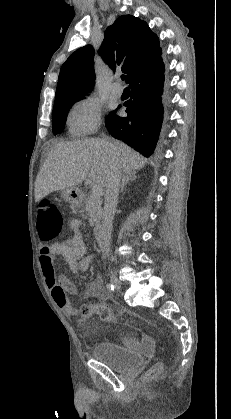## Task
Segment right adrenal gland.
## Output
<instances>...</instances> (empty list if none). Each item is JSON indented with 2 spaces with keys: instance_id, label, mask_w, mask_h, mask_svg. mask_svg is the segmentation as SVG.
<instances>
[{
  "instance_id": "obj_1",
  "label": "right adrenal gland",
  "mask_w": 231,
  "mask_h": 419,
  "mask_svg": "<svg viewBox=\"0 0 231 419\" xmlns=\"http://www.w3.org/2000/svg\"><path fill=\"white\" fill-rule=\"evenodd\" d=\"M137 178L136 171L125 172L122 177L121 186H120V193L123 192L124 187L129 181H134Z\"/></svg>"
}]
</instances>
